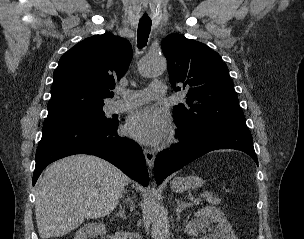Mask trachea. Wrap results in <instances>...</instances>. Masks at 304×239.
Instances as JSON below:
<instances>
[{
	"label": "trachea",
	"instance_id": "trachea-1",
	"mask_svg": "<svg viewBox=\"0 0 304 239\" xmlns=\"http://www.w3.org/2000/svg\"><path fill=\"white\" fill-rule=\"evenodd\" d=\"M151 18L149 16L148 12H141L140 13V20L138 25V32H137V42H138V48H143L146 46V43L148 41V37L151 30Z\"/></svg>",
	"mask_w": 304,
	"mask_h": 239
}]
</instances>
